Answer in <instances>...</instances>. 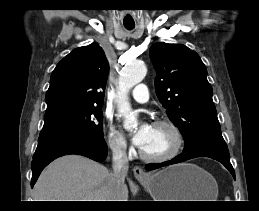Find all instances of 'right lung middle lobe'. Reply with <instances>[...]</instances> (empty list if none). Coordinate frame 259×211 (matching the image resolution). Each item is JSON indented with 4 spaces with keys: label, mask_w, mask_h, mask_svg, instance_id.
Instances as JSON below:
<instances>
[{
    "label": "right lung middle lobe",
    "mask_w": 259,
    "mask_h": 211,
    "mask_svg": "<svg viewBox=\"0 0 259 211\" xmlns=\"http://www.w3.org/2000/svg\"><path fill=\"white\" fill-rule=\"evenodd\" d=\"M102 119L101 106L89 107L61 119L44 123L40 136L76 133L92 137H103Z\"/></svg>",
    "instance_id": "obj_1"
}]
</instances>
